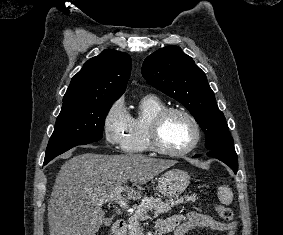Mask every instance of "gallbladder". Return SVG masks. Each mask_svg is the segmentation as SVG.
I'll use <instances>...</instances> for the list:
<instances>
[{
	"label": "gallbladder",
	"mask_w": 283,
	"mask_h": 235,
	"mask_svg": "<svg viewBox=\"0 0 283 235\" xmlns=\"http://www.w3.org/2000/svg\"><path fill=\"white\" fill-rule=\"evenodd\" d=\"M111 222H112V220L110 218H107L104 224L106 226H109L111 224Z\"/></svg>",
	"instance_id": "gallbladder-1"
}]
</instances>
